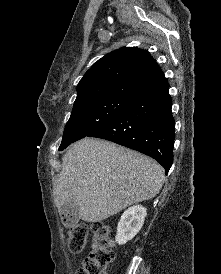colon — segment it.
I'll return each mask as SVG.
<instances>
[{
    "label": "colon",
    "mask_w": 221,
    "mask_h": 274,
    "mask_svg": "<svg viewBox=\"0 0 221 274\" xmlns=\"http://www.w3.org/2000/svg\"><path fill=\"white\" fill-rule=\"evenodd\" d=\"M91 249L76 274H106L108 265L114 259L112 235L108 225L95 222L91 226ZM68 249L73 254L81 253L86 246L88 227L84 223L68 225Z\"/></svg>",
    "instance_id": "1"
}]
</instances>
